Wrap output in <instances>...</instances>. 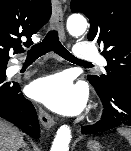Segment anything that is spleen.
I'll use <instances>...</instances> for the list:
<instances>
[{
	"label": "spleen",
	"mask_w": 131,
	"mask_h": 151,
	"mask_svg": "<svg viewBox=\"0 0 131 151\" xmlns=\"http://www.w3.org/2000/svg\"><path fill=\"white\" fill-rule=\"evenodd\" d=\"M117 131L119 132V134L125 137L128 140L129 144L131 145V129L119 128L117 129Z\"/></svg>",
	"instance_id": "obj_1"
}]
</instances>
